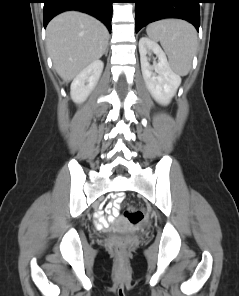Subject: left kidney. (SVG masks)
I'll return each mask as SVG.
<instances>
[{
  "label": "left kidney",
  "mask_w": 239,
  "mask_h": 296,
  "mask_svg": "<svg viewBox=\"0 0 239 296\" xmlns=\"http://www.w3.org/2000/svg\"><path fill=\"white\" fill-rule=\"evenodd\" d=\"M139 52L142 75L147 89L160 104L167 105L175 95L181 78L171 69L161 47L151 39L142 37L139 40ZM153 52L158 63L150 65L147 54Z\"/></svg>",
  "instance_id": "1"
}]
</instances>
